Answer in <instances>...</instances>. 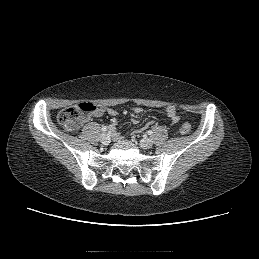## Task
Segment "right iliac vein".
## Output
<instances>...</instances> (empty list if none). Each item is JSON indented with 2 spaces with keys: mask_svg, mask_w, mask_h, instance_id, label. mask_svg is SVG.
I'll use <instances>...</instances> for the list:
<instances>
[{
  "mask_svg": "<svg viewBox=\"0 0 259 259\" xmlns=\"http://www.w3.org/2000/svg\"><path fill=\"white\" fill-rule=\"evenodd\" d=\"M100 141L104 145H108L110 143V137L107 133H102L100 136Z\"/></svg>",
  "mask_w": 259,
  "mask_h": 259,
  "instance_id": "63e3f726",
  "label": "right iliac vein"
}]
</instances>
